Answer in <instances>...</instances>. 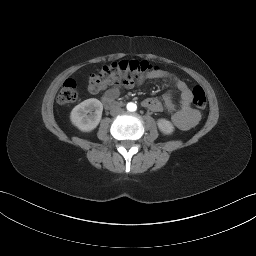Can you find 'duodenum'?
<instances>
[{"mask_svg":"<svg viewBox=\"0 0 256 256\" xmlns=\"http://www.w3.org/2000/svg\"><path fill=\"white\" fill-rule=\"evenodd\" d=\"M103 104L106 109H115L121 106L120 102L108 96L103 97Z\"/></svg>","mask_w":256,"mask_h":256,"instance_id":"410a0bca","label":"duodenum"}]
</instances>
